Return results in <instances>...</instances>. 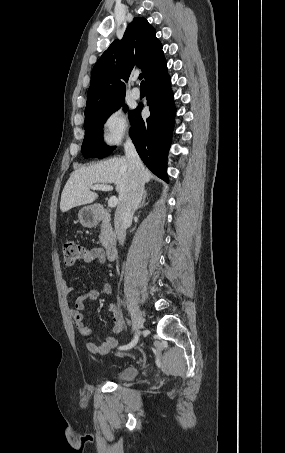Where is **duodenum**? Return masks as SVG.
Segmentation results:
<instances>
[{"label": "duodenum", "mask_w": 285, "mask_h": 453, "mask_svg": "<svg viewBox=\"0 0 285 453\" xmlns=\"http://www.w3.org/2000/svg\"><path fill=\"white\" fill-rule=\"evenodd\" d=\"M95 217L98 221L110 223L111 215L103 207L95 209ZM104 252L108 260H114L117 255V239L112 231H109L104 240Z\"/></svg>", "instance_id": "1"}]
</instances>
